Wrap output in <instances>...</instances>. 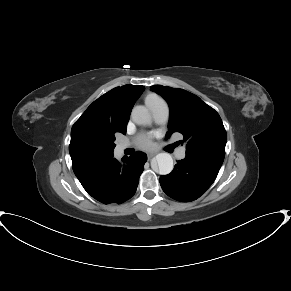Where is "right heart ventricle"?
<instances>
[{"label": "right heart ventricle", "instance_id": "obj_1", "mask_svg": "<svg viewBox=\"0 0 291 291\" xmlns=\"http://www.w3.org/2000/svg\"><path fill=\"white\" fill-rule=\"evenodd\" d=\"M158 99H161L159 96L155 95V94H149L146 99H145V102L148 106V104L158 100Z\"/></svg>", "mask_w": 291, "mask_h": 291}]
</instances>
